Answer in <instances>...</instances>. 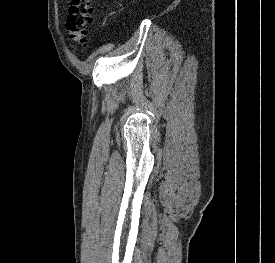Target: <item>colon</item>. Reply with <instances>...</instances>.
<instances>
[{"label": "colon", "mask_w": 275, "mask_h": 263, "mask_svg": "<svg viewBox=\"0 0 275 263\" xmlns=\"http://www.w3.org/2000/svg\"><path fill=\"white\" fill-rule=\"evenodd\" d=\"M92 22V1L71 0L65 27L72 50L83 49L87 46L88 29Z\"/></svg>", "instance_id": "colon-1"}]
</instances>
